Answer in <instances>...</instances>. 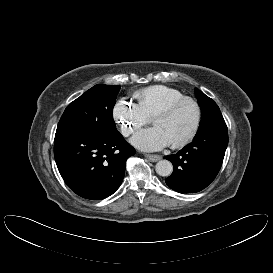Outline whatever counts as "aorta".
<instances>
[{
	"instance_id": "762f6f07",
	"label": "aorta",
	"mask_w": 273,
	"mask_h": 273,
	"mask_svg": "<svg viewBox=\"0 0 273 273\" xmlns=\"http://www.w3.org/2000/svg\"><path fill=\"white\" fill-rule=\"evenodd\" d=\"M156 173L163 177H168L173 171V165L168 160H160L155 166Z\"/></svg>"
}]
</instances>
